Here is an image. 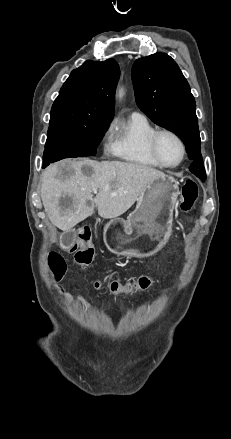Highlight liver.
I'll return each instance as SVG.
<instances>
[{"mask_svg": "<svg viewBox=\"0 0 231 439\" xmlns=\"http://www.w3.org/2000/svg\"><path fill=\"white\" fill-rule=\"evenodd\" d=\"M162 176L159 170L135 163L62 160L42 173L41 199L51 223L70 231L95 207L104 219L124 214L148 184ZM93 188L99 190L94 199Z\"/></svg>", "mask_w": 231, "mask_h": 439, "instance_id": "6515ba94", "label": "liver"}]
</instances>
